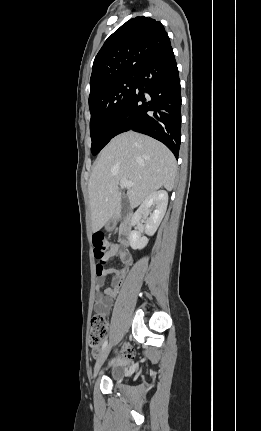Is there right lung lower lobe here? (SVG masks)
Wrapping results in <instances>:
<instances>
[{
	"label": "right lung lower lobe",
	"mask_w": 261,
	"mask_h": 431,
	"mask_svg": "<svg viewBox=\"0 0 261 431\" xmlns=\"http://www.w3.org/2000/svg\"><path fill=\"white\" fill-rule=\"evenodd\" d=\"M172 47L152 59L136 76L134 92L120 115L113 137L129 130L164 143L178 159L181 94Z\"/></svg>",
	"instance_id": "1"
}]
</instances>
